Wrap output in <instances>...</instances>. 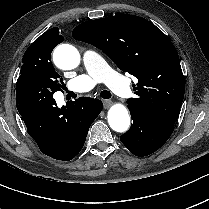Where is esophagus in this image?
I'll list each match as a JSON object with an SVG mask.
<instances>
[{
  "label": "esophagus",
  "instance_id": "1",
  "mask_svg": "<svg viewBox=\"0 0 209 209\" xmlns=\"http://www.w3.org/2000/svg\"><path fill=\"white\" fill-rule=\"evenodd\" d=\"M104 108L107 109L112 105V101L111 100H104Z\"/></svg>",
  "mask_w": 209,
  "mask_h": 209
}]
</instances>
